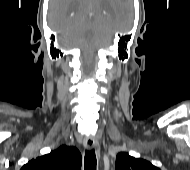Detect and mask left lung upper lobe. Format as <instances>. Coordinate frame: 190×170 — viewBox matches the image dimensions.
Instances as JSON below:
<instances>
[{"label":"left lung upper lobe","mask_w":190,"mask_h":170,"mask_svg":"<svg viewBox=\"0 0 190 170\" xmlns=\"http://www.w3.org/2000/svg\"><path fill=\"white\" fill-rule=\"evenodd\" d=\"M116 170H160L158 167L144 159H137L126 152H121L116 157Z\"/></svg>","instance_id":"1"}]
</instances>
